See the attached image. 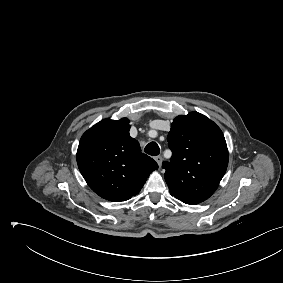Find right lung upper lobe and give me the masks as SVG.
Returning a JSON list of instances; mask_svg holds the SVG:
<instances>
[{"mask_svg":"<svg viewBox=\"0 0 283 283\" xmlns=\"http://www.w3.org/2000/svg\"><path fill=\"white\" fill-rule=\"evenodd\" d=\"M127 118L104 119L79 142L77 163L89 187L100 197L121 202L137 195L157 163L129 135Z\"/></svg>","mask_w":283,"mask_h":283,"instance_id":"right-lung-upper-lobe-1","label":"right lung upper lobe"}]
</instances>
